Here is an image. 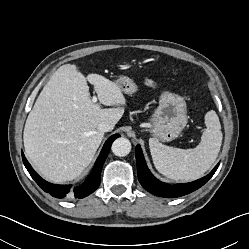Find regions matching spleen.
I'll use <instances>...</instances> for the list:
<instances>
[{
    "label": "spleen",
    "mask_w": 249,
    "mask_h": 249,
    "mask_svg": "<svg viewBox=\"0 0 249 249\" xmlns=\"http://www.w3.org/2000/svg\"><path fill=\"white\" fill-rule=\"evenodd\" d=\"M205 125L201 142L193 149L169 147L150 138L149 147L155 168L173 180L193 181L202 177L218 157L223 138L215 111L206 113Z\"/></svg>",
    "instance_id": "3e777b00"
}]
</instances>
